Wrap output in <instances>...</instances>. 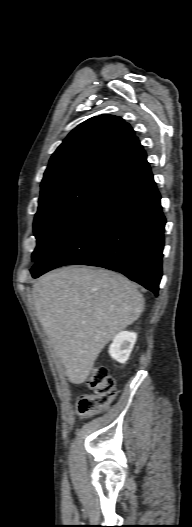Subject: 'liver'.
Returning a JSON list of instances; mask_svg holds the SVG:
<instances>
[{"instance_id":"liver-1","label":"liver","mask_w":192,"mask_h":527,"mask_svg":"<svg viewBox=\"0 0 192 527\" xmlns=\"http://www.w3.org/2000/svg\"><path fill=\"white\" fill-rule=\"evenodd\" d=\"M32 299L73 384L87 379L105 345L144 309L135 283L92 267H64L43 275L33 284Z\"/></svg>"}]
</instances>
